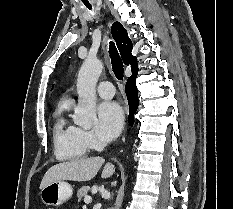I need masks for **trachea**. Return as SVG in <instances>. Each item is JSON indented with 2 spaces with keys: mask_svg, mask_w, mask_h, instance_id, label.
<instances>
[{
  "mask_svg": "<svg viewBox=\"0 0 233 209\" xmlns=\"http://www.w3.org/2000/svg\"><path fill=\"white\" fill-rule=\"evenodd\" d=\"M88 8L91 9L90 6ZM109 54H110L112 69L115 74V77L118 80H123V76H124L123 62L113 42H110Z\"/></svg>",
  "mask_w": 233,
  "mask_h": 209,
  "instance_id": "1",
  "label": "trachea"
}]
</instances>
